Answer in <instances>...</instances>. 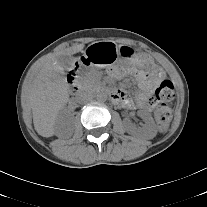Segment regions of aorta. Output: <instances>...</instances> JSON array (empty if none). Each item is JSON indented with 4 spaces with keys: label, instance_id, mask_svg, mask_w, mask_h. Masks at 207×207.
I'll list each match as a JSON object with an SVG mask.
<instances>
[{
    "label": "aorta",
    "instance_id": "obj_1",
    "mask_svg": "<svg viewBox=\"0 0 207 207\" xmlns=\"http://www.w3.org/2000/svg\"><path fill=\"white\" fill-rule=\"evenodd\" d=\"M107 98H108V95L104 90H100L96 93V99L99 102H105L107 100Z\"/></svg>",
    "mask_w": 207,
    "mask_h": 207
}]
</instances>
